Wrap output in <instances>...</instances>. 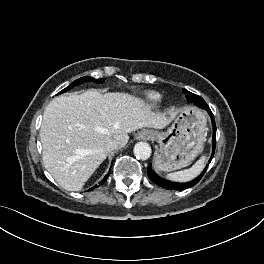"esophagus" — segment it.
<instances>
[{
  "mask_svg": "<svg viewBox=\"0 0 264 264\" xmlns=\"http://www.w3.org/2000/svg\"><path fill=\"white\" fill-rule=\"evenodd\" d=\"M150 138H151V133L147 131L141 132L138 136V139H143V140H148Z\"/></svg>",
  "mask_w": 264,
  "mask_h": 264,
  "instance_id": "obj_1",
  "label": "esophagus"
}]
</instances>
